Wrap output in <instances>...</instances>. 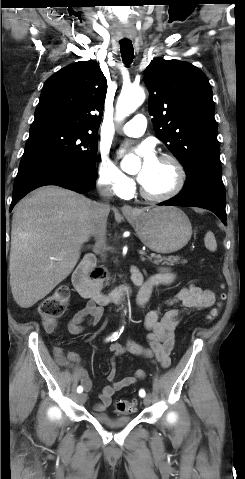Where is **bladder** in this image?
<instances>
[{
  "label": "bladder",
  "instance_id": "31cf9c89",
  "mask_svg": "<svg viewBox=\"0 0 245 479\" xmlns=\"http://www.w3.org/2000/svg\"><path fill=\"white\" fill-rule=\"evenodd\" d=\"M93 418L108 427H123L127 425L131 420V416H121V417H111L107 414H98L95 413Z\"/></svg>",
  "mask_w": 245,
  "mask_h": 479
}]
</instances>
